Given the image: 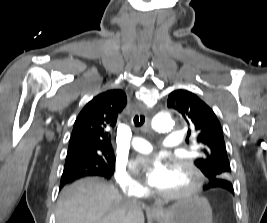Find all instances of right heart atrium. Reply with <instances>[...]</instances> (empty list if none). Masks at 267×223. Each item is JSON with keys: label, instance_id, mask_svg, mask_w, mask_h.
<instances>
[{"label": "right heart atrium", "instance_id": "d8ad5b80", "mask_svg": "<svg viewBox=\"0 0 267 223\" xmlns=\"http://www.w3.org/2000/svg\"><path fill=\"white\" fill-rule=\"evenodd\" d=\"M114 178L127 195L138 197L144 193L143 186L133 177L125 164L119 162L116 164Z\"/></svg>", "mask_w": 267, "mask_h": 223}]
</instances>
